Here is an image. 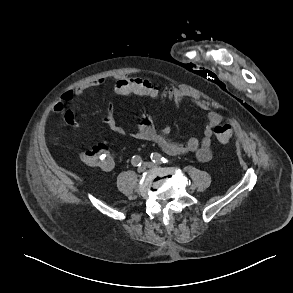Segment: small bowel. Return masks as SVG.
Returning a JSON list of instances; mask_svg holds the SVG:
<instances>
[{
	"label": "small bowel",
	"instance_id": "1",
	"mask_svg": "<svg viewBox=\"0 0 293 293\" xmlns=\"http://www.w3.org/2000/svg\"><path fill=\"white\" fill-rule=\"evenodd\" d=\"M103 80L85 82L67 90L61 96V100L53 106L54 112L62 114L65 122L71 127H78L79 123L71 109L65 107V103L70 102L75 97L80 96L85 91L103 85ZM159 88L145 78L118 76L112 87V93L115 96L123 97L132 94L145 95L148 97H158ZM164 98H168L176 107L182 101L188 99L202 110L207 111V123L204 127L201 139L189 138L184 142H177L170 138V128L164 127L157 129L152 118L143 114L140 117L138 129L131 136L137 140L150 141L157 144L164 152L171 155L193 154L200 162H208L212 159V136L213 129L222 121L219 113L209 111L205 103L197 100L192 94L174 87L164 86L161 90ZM104 124L114 133L125 135L126 130L118 123L114 117V105L111 104L107 112L101 117ZM115 166L114 158L109 167L103 168L105 171H111Z\"/></svg>",
	"mask_w": 293,
	"mask_h": 293
}]
</instances>
